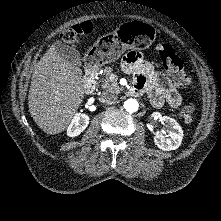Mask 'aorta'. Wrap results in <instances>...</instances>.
Masks as SVG:
<instances>
[{"instance_id": "1", "label": "aorta", "mask_w": 221, "mask_h": 221, "mask_svg": "<svg viewBox=\"0 0 221 221\" xmlns=\"http://www.w3.org/2000/svg\"><path fill=\"white\" fill-rule=\"evenodd\" d=\"M124 108L126 111L130 112V113H134L138 110L139 108V103L137 102L136 99L130 98L127 99L124 102Z\"/></svg>"}]
</instances>
